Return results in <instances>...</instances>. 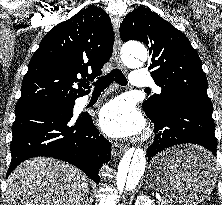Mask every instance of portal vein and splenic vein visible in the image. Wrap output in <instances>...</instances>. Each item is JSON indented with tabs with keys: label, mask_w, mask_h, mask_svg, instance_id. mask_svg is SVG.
<instances>
[{
	"label": "portal vein and splenic vein",
	"mask_w": 222,
	"mask_h": 205,
	"mask_svg": "<svg viewBox=\"0 0 222 205\" xmlns=\"http://www.w3.org/2000/svg\"><path fill=\"white\" fill-rule=\"evenodd\" d=\"M156 198H157L158 200H161V197H160L159 195H157Z\"/></svg>",
	"instance_id": "1"
}]
</instances>
